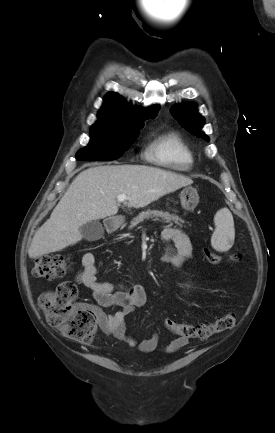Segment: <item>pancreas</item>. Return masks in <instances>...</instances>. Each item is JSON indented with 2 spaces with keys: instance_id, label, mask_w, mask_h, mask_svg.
<instances>
[{
  "instance_id": "cf45deb5",
  "label": "pancreas",
  "mask_w": 275,
  "mask_h": 433,
  "mask_svg": "<svg viewBox=\"0 0 275 433\" xmlns=\"http://www.w3.org/2000/svg\"><path fill=\"white\" fill-rule=\"evenodd\" d=\"M153 217H160L163 222L169 223L170 225L176 224L179 227H183L184 221L175 214H170L169 212H163L158 210H147L144 212H141L137 217L133 218L131 221L129 229L134 228L139 223L143 222L144 219H149Z\"/></svg>"
}]
</instances>
